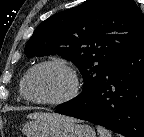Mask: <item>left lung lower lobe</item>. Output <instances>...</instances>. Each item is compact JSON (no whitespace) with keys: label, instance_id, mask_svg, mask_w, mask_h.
Listing matches in <instances>:
<instances>
[{"label":"left lung lower lobe","instance_id":"1","mask_svg":"<svg viewBox=\"0 0 144 137\" xmlns=\"http://www.w3.org/2000/svg\"><path fill=\"white\" fill-rule=\"evenodd\" d=\"M55 112L104 126L125 137H144V29L93 90L59 105Z\"/></svg>","mask_w":144,"mask_h":137}]
</instances>
